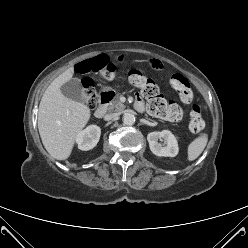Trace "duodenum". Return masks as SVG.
Returning a JSON list of instances; mask_svg holds the SVG:
<instances>
[{
    "label": "duodenum",
    "instance_id": "410a0bca",
    "mask_svg": "<svg viewBox=\"0 0 248 248\" xmlns=\"http://www.w3.org/2000/svg\"><path fill=\"white\" fill-rule=\"evenodd\" d=\"M98 98H99V106L97 107V109L95 110V117L97 118H102L108 108V104L112 99V93L110 92H102L98 94ZM140 104L136 102V106H139Z\"/></svg>",
    "mask_w": 248,
    "mask_h": 248
}]
</instances>
